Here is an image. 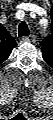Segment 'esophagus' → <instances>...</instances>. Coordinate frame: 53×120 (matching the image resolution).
<instances>
[{"label":"esophagus","mask_w":53,"mask_h":120,"mask_svg":"<svg viewBox=\"0 0 53 120\" xmlns=\"http://www.w3.org/2000/svg\"><path fill=\"white\" fill-rule=\"evenodd\" d=\"M23 42H34L35 41V37L33 35L31 36H26L22 38Z\"/></svg>","instance_id":"34e87169"}]
</instances>
